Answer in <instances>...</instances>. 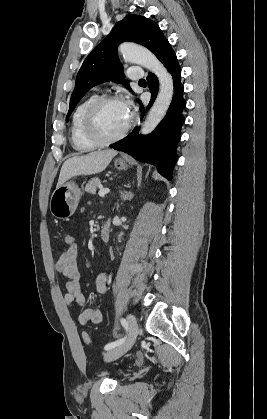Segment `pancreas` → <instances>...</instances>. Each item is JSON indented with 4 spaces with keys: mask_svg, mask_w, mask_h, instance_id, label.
<instances>
[{
    "mask_svg": "<svg viewBox=\"0 0 267 419\" xmlns=\"http://www.w3.org/2000/svg\"><path fill=\"white\" fill-rule=\"evenodd\" d=\"M101 185V180L99 178H92L85 186V191L91 194L96 193V189Z\"/></svg>",
    "mask_w": 267,
    "mask_h": 419,
    "instance_id": "obj_1",
    "label": "pancreas"
}]
</instances>
